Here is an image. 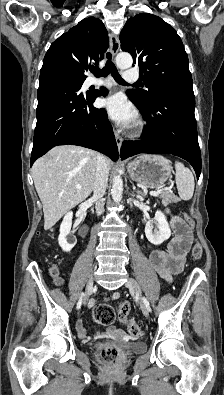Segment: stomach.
Segmentation results:
<instances>
[{"instance_id": "stomach-1", "label": "stomach", "mask_w": 224, "mask_h": 395, "mask_svg": "<svg viewBox=\"0 0 224 395\" xmlns=\"http://www.w3.org/2000/svg\"><path fill=\"white\" fill-rule=\"evenodd\" d=\"M132 180L148 188H159L169 178L172 165L169 160L158 155H140L127 166Z\"/></svg>"}]
</instances>
